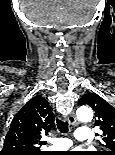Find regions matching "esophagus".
<instances>
[{"instance_id":"1","label":"esophagus","mask_w":115,"mask_h":155,"mask_svg":"<svg viewBox=\"0 0 115 155\" xmlns=\"http://www.w3.org/2000/svg\"><path fill=\"white\" fill-rule=\"evenodd\" d=\"M68 122H69V124H71V125L76 124L77 119H76V115H75L74 112L70 113V115L68 116Z\"/></svg>"}]
</instances>
